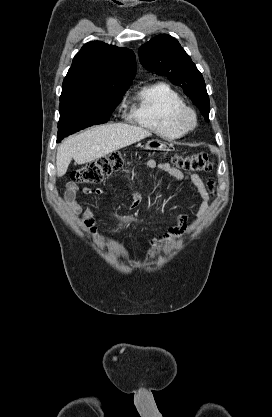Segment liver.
Listing matches in <instances>:
<instances>
[{"instance_id": "liver-1", "label": "liver", "mask_w": 272, "mask_h": 417, "mask_svg": "<svg viewBox=\"0 0 272 417\" xmlns=\"http://www.w3.org/2000/svg\"><path fill=\"white\" fill-rule=\"evenodd\" d=\"M150 135L149 131L141 127L121 123L100 125L85 130L59 145L56 156L57 176L65 175L72 158L77 164L82 165Z\"/></svg>"}]
</instances>
